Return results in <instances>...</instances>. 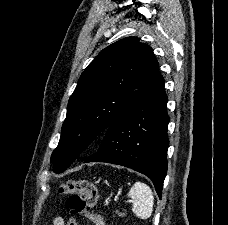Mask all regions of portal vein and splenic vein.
Masks as SVG:
<instances>
[{"instance_id": "18ae733b", "label": "portal vein and splenic vein", "mask_w": 228, "mask_h": 225, "mask_svg": "<svg viewBox=\"0 0 228 225\" xmlns=\"http://www.w3.org/2000/svg\"><path fill=\"white\" fill-rule=\"evenodd\" d=\"M121 197H115V202H121ZM114 203V202H113ZM128 203H130V202H128ZM105 207H110V202H105Z\"/></svg>"}]
</instances>
